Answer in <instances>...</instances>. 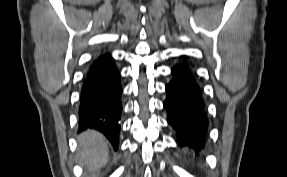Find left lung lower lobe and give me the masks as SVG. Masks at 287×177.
I'll return each mask as SVG.
<instances>
[{"label":"left lung lower lobe","mask_w":287,"mask_h":177,"mask_svg":"<svg viewBox=\"0 0 287 177\" xmlns=\"http://www.w3.org/2000/svg\"><path fill=\"white\" fill-rule=\"evenodd\" d=\"M171 72L173 79L166 85L163 104L168 112L167 122L176 131L177 143L197 154L204 147L208 127L201 90L186 63L174 66Z\"/></svg>","instance_id":"obj_1"}]
</instances>
